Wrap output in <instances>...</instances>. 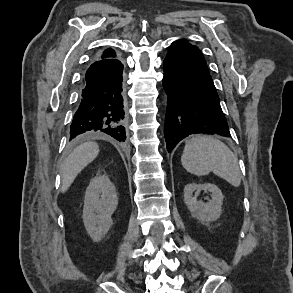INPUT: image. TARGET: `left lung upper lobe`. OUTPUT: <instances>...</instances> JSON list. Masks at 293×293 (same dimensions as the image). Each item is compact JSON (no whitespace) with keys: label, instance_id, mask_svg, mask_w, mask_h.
Here are the masks:
<instances>
[{"label":"left lung upper lobe","instance_id":"5c2ea615","mask_svg":"<svg viewBox=\"0 0 293 293\" xmlns=\"http://www.w3.org/2000/svg\"><path fill=\"white\" fill-rule=\"evenodd\" d=\"M187 48L190 50L191 57L194 60V63L206 74L207 78L213 82L211 75L209 73L207 64L205 59L203 58V55L201 51L194 45H191L187 40H182Z\"/></svg>","mask_w":293,"mask_h":293}]
</instances>
